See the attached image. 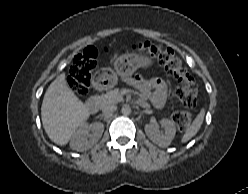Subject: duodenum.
Listing matches in <instances>:
<instances>
[{
	"label": "duodenum",
	"mask_w": 248,
	"mask_h": 194,
	"mask_svg": "<svg viewBox=\"0 0 248 194\" xmlns=\"http://www.w3.org/2000/svg\"><path fill=\"white\" fill-rule=\"evenodd\" d=\"M85 107L88 112L95 113L98 110L99 107V100L96 96H91L86 99L85 101Z\"/></svg>",
	"instance_id": "410a0bca"
}]
</instances>
